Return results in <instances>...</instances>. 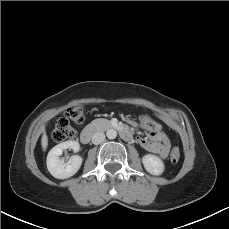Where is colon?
Wrapping results in <instances>:
<instances>
[{
    "label": "colon",
    "instance_id": "1",
    "mask_svg": "<svg viewBox=\"0 0 229 229\" xmlns=\"http://www.w3.org/2000/svg\"><path fill=\"white\" fill-rule=\"evenodd\" d=\"M67 117L76 124H81L84 120V109L81 106H74L68 109ZM147 128H152V122H146ZM76 134L75 129L71 126L67 118H60L52 131V139L55 142H63L74 138ZM181 152L178 147H174L170 154V160L177 163L180 160Z\"/></svg>",
    "mask_w": 229,
    "mask_h": 229
}]
</instances>
